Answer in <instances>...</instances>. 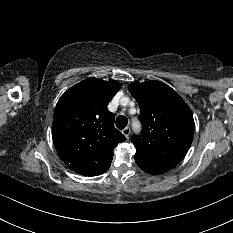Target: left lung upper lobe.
<instances>
[{"mask_svg": "<svg viewBox=\"0 0 233 233\" xmlns=\"http://www.w3.org/2000/svg\"><path fill=\"white\" fill-rule=\"evenodd\" d=\"M129 91L139 104L141 137L132 136L137 156L172 169L186 155L194 135L193 115L184 100L159 81L132 83Z\"/></svg>", "mask_w": 233, "mask_h": 233, "instance_id": "left-lung-upper-lobe-1", "label": "left lung upper lobe"}]
</instances>
